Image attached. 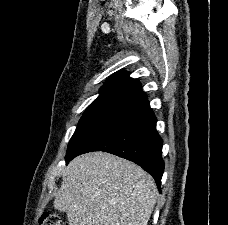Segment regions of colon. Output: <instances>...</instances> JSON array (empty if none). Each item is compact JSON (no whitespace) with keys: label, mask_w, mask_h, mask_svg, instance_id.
<instances>
[{"label":"colon","mask_w":228,"mask_h":225,"mask_svg":"<svg viewBox=\"0 0 228 225\" xmlns=\"http://www.w3.org/2000/svg\"><path fill=\"white\" fill-rule=\"evenodd\" d=\"M41 225H65L60 216L54 212L47 211L41 218Z\"/></svg>","instance_id":"colon-1"}]
</instances>
